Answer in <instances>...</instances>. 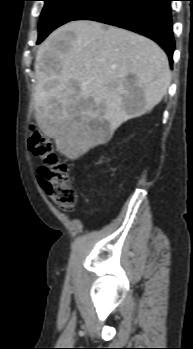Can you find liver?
<instances>
[{"mask_svg": "<svg viewBox=\"0 0 193 349\" xmlns=\"http://www.w3.org/2000/svg\"><path fill=\"white\" fill-rule=\"evenodd\" d=\"M35 74L37 124L70 159L108 142L127 120L150 112L171 80L168 58L155 42L83 20L49 35L38 48Z\"/></svg>", "mask_w": 193, "mask_h": 349, "instance_id": "obj_1", "label": "liver"}]
</instances>
